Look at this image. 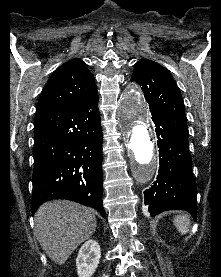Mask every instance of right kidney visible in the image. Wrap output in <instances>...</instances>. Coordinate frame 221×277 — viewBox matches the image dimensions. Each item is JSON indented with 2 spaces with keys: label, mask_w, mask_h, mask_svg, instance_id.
Instances as JSON below:
<instances>
[{
  "label": "right kidney",
  "mask_w": 221,
  "mask_h": 277,
  "mask_svg": "<svg viewBox=\"0 0 221 277\" xmlns=\"http://www.w3.org/2000/svg\"><path fill=\"white\" fill-rule=\"evenodd\" d=\"M101 258V249L95 240L86 241L80 248L76 258V267L79 277H91L98 267Z\"/></svg>",
  "instance_id": "ca27d5eb"
}]
</instances>
